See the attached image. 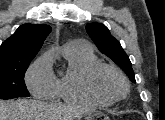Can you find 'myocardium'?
<instances>
[{"label": "myocardium", "instance_id": "myocardium-1", "mask_svg": "<svg viewBox=\"0 0 165 120\" xmlns=\"http://www.w3.org/2000/svg\"><path fill=\"white\" fill-rule=\"evenodd\" d=\"M104 70H110L120 77L124 85V90L121 95L107 96L98 90L97 85H96V80H97L98 75ZM85 89L92 98L104 104H112V103L122 100L127 95L129 91V82H128L127 77L125 76V74L122 72L120 68H118L117 66L113 64L99 62L95 64L94 66H92L90 70L87 72L86 77H85Z\"/></svg>", "mask_w": 165, "mask_h": 120}]
</instances>
